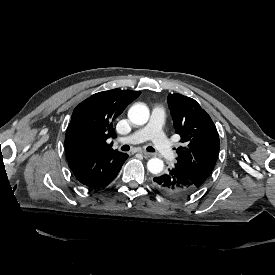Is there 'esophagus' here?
Instances as JSON below:
<instances>
[{
  "instance_id": "esophagus-1",
  "label": "esophagus",
  "mask_w": 275,
  "mask_h": 275,
  "mask_svg": "<svg viewBox=\"0 0 275 275\" xmlns=\"http://www.w3.org/2000/svg\"><path fill=\"white\" fill-rule=\"evenodd\" d=\"M140 154L143 156V158H149L150 156H151V154L150 153H148V152H146V151H144V150H141L140 151Z\"/></svg>"
}]
</instances>
